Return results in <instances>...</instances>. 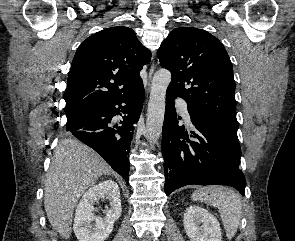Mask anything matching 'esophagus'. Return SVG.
<instances>
[{
	"mask_svg": "<svg viewBox=\"0 0 295 241\" xmlns=\"http://www.w3.org/2000/svg\"><path fill=\"white\" fill-rule=\"evenodd\" d=\"M154 69H155V66H154V64H152V66H151V68H150V72H149V79L152 78V74H153V72H154Z\"/></svg>",
	"mask_w": 295,
	"mask_h": 241,
	"instance_id": "34e87169",
	"label": "esophagus"
}]
</instances>
